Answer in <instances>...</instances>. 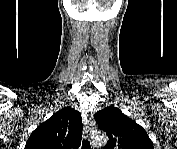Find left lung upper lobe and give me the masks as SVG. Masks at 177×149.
I'll return each mask as SVG.
<instances>
[{
    "mask_svg": "<svg viewBox=\"0 0 177 149\" xmlns=\"http://www.w3.org/2000/svg\"><path fill=\"white\" fill-rule=\"evenodd\" d=\"M94 119L109 137L105 149H154L144 128L118 108L107 107L97 112Z\"/></svg>",
    "mask_w": 177,
    "mask_h": 149,
    "instance_id": "left-lung-upper-lobe-1",
    "label": "left lung upper lobe"
}]
</instances>
